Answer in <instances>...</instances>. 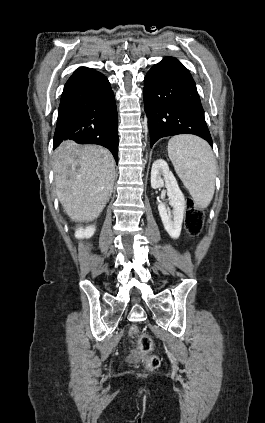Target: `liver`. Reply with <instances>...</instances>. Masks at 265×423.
<instances>
[{
    "mask_svg": "<svg viewBox=\"0 0 265 423\" xmlns=\"http://www.w3.org/2000/svg\"><path fill=\"white\" fill-rule=\"evenodd\" d=\"M53 170L57 195L69 218L74 222L98 218L113 190L115 162L110 151L64 141L54 152Z\"/></svg>",
    "mask_w": 265,
    "mask_h": 423,
    "instance_id": "6515ba94",
    "label": "liver"
}]
</instances>
